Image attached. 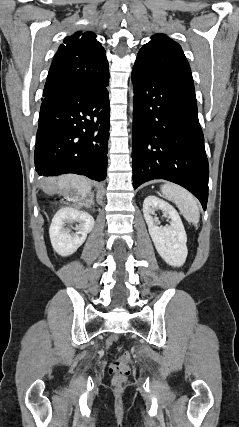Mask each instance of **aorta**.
<instances>
[{"instance_id":"1","label":"aorta","mask_w":239,"mask_h":427,"mask_svg":"<svg viewBox=\"0 0 239 427\" xmlns=\"http://www.w3.org/2000/svg\"><path fill=\"white\" fill-rule=\"evenodd\" d=\"M130 111L133 112V90L131 91V105H130Z\"/></svg>"}]
</instances>
